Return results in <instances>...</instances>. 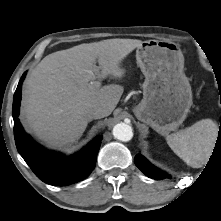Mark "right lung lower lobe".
Listing matches in <instances>:
<instances>
[{
  "label": "right lung lower lobe",
  "instance_id": "right-lung-lower-lobe-1",
  "mask_svg": "<svg viewBox=\"0 0 221 221\" xmlns=\"http://www.w3.org/2000/svg\"><path fill=\"white\" fill-rule=\"evenodd\" d=\"M22 75L13 97L12 115L17 150L36 176L43 182L65 186L86 178L94 169L102 136H97L80 152L71 157L43 149L27 135L18 117L21 100Z\"/></svg>",
  "mask_w": 221,
  "mask_h": 221
}]
</instances>
